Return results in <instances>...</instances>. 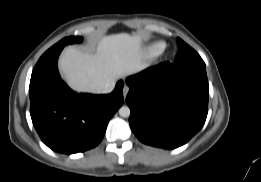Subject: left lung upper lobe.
Here are the masks:
<instances>
[{
	"label": "left lung upper lobe",
	"instance_id": "left-lung-upper-lobe-1",
	"mask_svg": "<svg viewBox=\"0 0 261 182\" xmlns=\"http://www.w3.org/2000/svg\"><path fill=\"white\" fill-rule=\"evenodd\" d=\"M179 51L176 55V64H205L200 55L187 45L183 40L177 38Z\"/></svg>",
	"mask_w": 261,
	"mask_h": 182
}]
</instances>
